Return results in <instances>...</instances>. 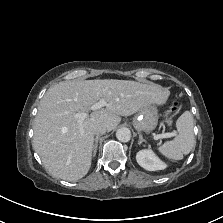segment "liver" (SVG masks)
Returning <instances> with one entry per match:
<instances>
[{
	"label": "liver",
	"mask_w": 223,
	"mask_h": 223,
	"mask_svg": "<svg viewBox=\"0 0 223 223\" xmlns=\"http://www.w3.org/2000/svg\"><path fill=\"white\" fill-rule=\"evenodd\" d=\"M170 92L155 84L128 80L66 81L50 87L34 119L33 148L56 178L77 181L89 171L94 147L93 126L112 131L121 116H130L149 104H164ZM101 99L103 109L91 110ZM76 113H85L82 121Z\"/></svg>",
	"instance_id": "liver-1"
}]
</instances>
